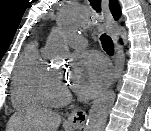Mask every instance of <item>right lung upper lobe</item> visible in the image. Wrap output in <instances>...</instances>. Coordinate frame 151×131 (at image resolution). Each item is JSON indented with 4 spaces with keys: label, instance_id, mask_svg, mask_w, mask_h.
<instances>
[{
    "label": "right lung upper lobe",
    "instance_id": "1",
    "mask_svg": "<svg viewBox=\"0 0 151 131\" xmlns=\"http://www.w3.org/2000/svg\"><path fill=\"white\" fill-rule=\"evenodd\" d=\"M109 6H110V10H111L115 20H117L121 15L120 7H119L117 1L116 0H110Z\"/></svg>",
    "mask_w": 151,
    "mask_h": 131
}]
</instances>
